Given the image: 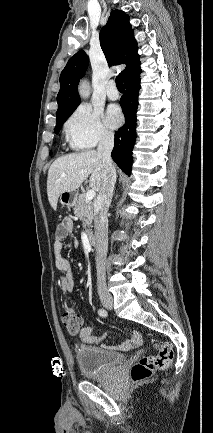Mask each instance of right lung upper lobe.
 Segmentation results:
<instances>
[{"instance_id":"right-lung-upper-lobe-1","label":"right lung upper lobe","mask_w":213,"mask_h":433,"mask_svg":"<svg viewBox=\"0 0 213 433\" xmlns=\"http://www.w3.org/2000/svg\"><path fill=\"white\" fill-rule=\"evenodd\" d=\"M99 37L108 64H126V68L121 72L124 80L140 65L137 41L129 23V16L121 10H113ZM88 62L87 54L80 50L69 59L61 72L60 90L57 95V120L78 107L80 97L77 86L87 69Z\"/></svg>"}]
</instances>
